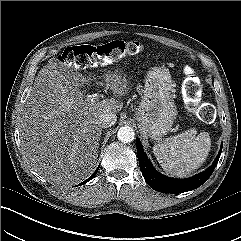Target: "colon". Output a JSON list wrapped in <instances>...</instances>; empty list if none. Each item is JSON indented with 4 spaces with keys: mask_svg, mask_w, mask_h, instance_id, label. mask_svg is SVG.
Returning <instances> with one entry per match:
<instances>
[{
    "mask_svg": "<svg viewBox=\"0 0 241 241\" xmlns=\"http://www.w3.org/2000/svg\"><path fill=\"white\" fill-rule=\"evenodd\" d=\"M142 51V45L135 41L116 40L100 46L80 45L65 49L60 61L76 69L109 64L124 55L137 54ZM187 108L204 121H212L214 109L211 105L201 102V84L189 72L183 88Z\"/></svg>",
    "mask_w": 241,
    "mask_h": 241,
    "instance_id": "5ec220e1",
    "label": "colon"
}]
</instances>
